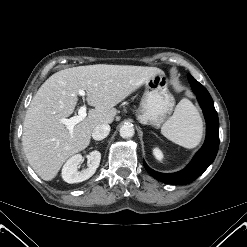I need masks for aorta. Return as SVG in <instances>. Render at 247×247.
<instances>
[{"mask_svg":"<svg viewBox=\"0 0 247 247\" xmlns=\"http://www.w3.org/2000/svg\"><path fill=\"white\" fill-rule=\"evenodd\" d=\"M120 136L122 138H131L134 135V127L131 124H125L120 128Z\"/></svg>","mask_w":247,"mask_h":247,"instance_id":"aorta-1","label":"aorta"}]
</instances>
